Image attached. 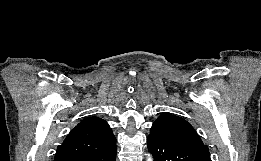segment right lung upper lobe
<instances>
[{
  "mask_svg": "<svg viewBox=\"0 0 261 161\" xmlns=\"http://www.w3.org/2000/svg\"><path fill=\"white\" fill-rule=\"evenodd\" d=\"M116 139L103 119L89 117L81 121L66 137L62 145L58 146L54 161L98 152L108 148Z\"/></svg>",
  "mask_w": 261,
  "mask_h": 161,
  "instance_id": "cb5924a9",
  "label": "right lung upper lobe"
}]
</instances>
